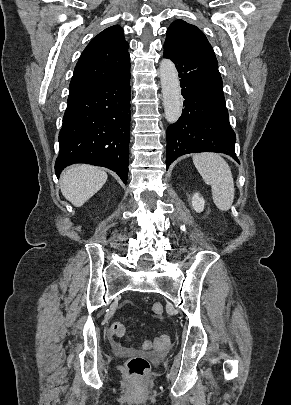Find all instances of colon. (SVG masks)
<instances>
[{
    "label": "colon",
    "mask_w": 291,
    "mask_h": 405,
    "mask_svg": "<svg viewBox=\"0 0 291 405\" xmlns=\"http://www.w3.org/2000/svg\"><path fill=\"white\" fill-rule=\"evenodd\" d=\"M156 315L163 313V306L160 303H155L152 307ZM126 328L122 323H114L109 329V335L112 338H118L125 335ZM170 344L168 335L158 336L150 341L145 342L144 346L147 349L161 350ZM149 370V362L146 358L135 356L127 360L125 364L126 375L130 380H139L143 378Z\"/></svg>",
    "instance_id": "colon-1"
}]
</instances>
